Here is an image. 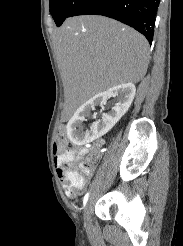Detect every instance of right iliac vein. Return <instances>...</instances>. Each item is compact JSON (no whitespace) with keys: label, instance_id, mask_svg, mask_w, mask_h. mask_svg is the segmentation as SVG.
I'll list each match as a JSON object with an SVG mask.
<instances>
[{"label":"right iliac vein","instance_id":"obj_1","mask_svg":"<svg viewBox=\"0 0 183 246\" xmlns=\"http://www.w3.org/2000/svg\"><path fill=\"white\" fill-rule=\"evenodd\" d=\"M84 221H85V226L89 228L91 225V203L90 201L87 203L86 208H85Z\"/></svg>","mask_w":183,"mask_h":246}]
</instances>
